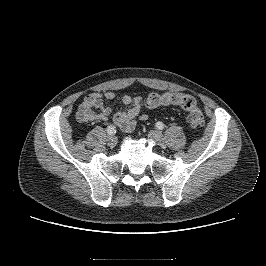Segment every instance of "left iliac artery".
I'll return each mask as SVG.
<instances>
[{"label":"left iliac artery","instance_id":"obj_1","mask_svg":"<svg viewBox=\"0 0 266 266\" xmlns=\"http://www.w3.org/2000/svg\"><path fill=\"white\" fill-rule=\"evenodd\" d=\"M156 127L159 129V130H163L164 129V124L162 122H157L156 123Z\"/></svg>","mask_w":266,"mask_h":266}]
</instances>
